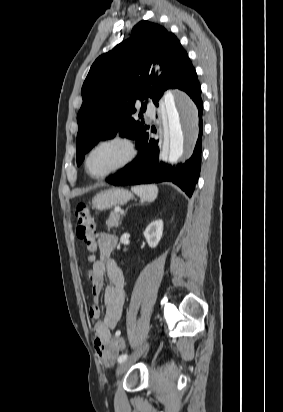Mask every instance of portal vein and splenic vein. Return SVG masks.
<instances>
[{
	"mask_svg": "<svg viewBox=\"0 0 283 412\" xmlns=\"http://www.w3.org/2000/svg\"><path fill=\"white\" fill-rule=\"evenodd\" d=\"M114 211H115V212H120V211H121V208L116 207Z\"/></svg>",
	"mask_w": 283,
	"mask_h": 412,
	"instance_id": "1",
	"label": "portal vein and splenic vein"
}]
</instances>
